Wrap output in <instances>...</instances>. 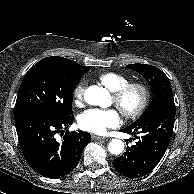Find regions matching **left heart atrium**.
<instances>
[{
  "mask_svg": "<svg viewBox=\"0 0 194 194\" xmlns=\"http://www.w3.org/2000/svg\"><path fill=\"white\" fill-rule=\"evenodd\" d=\"M120 123V114L115 109H88L78 119L80 128L96 134H103L108 128H115Z\"/></svg>",
  "mask_w": 194,
  "mask_h": 194,
  "instance_id": "obj_1",
  "label": "left heart atrium"
}]
</instances>
